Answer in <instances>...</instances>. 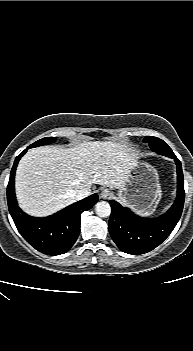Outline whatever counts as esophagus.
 Here are the masks:
<instances>
[{
    "label": "esophagus",
    "instance_id": "1",
    "mask_svg": "<svg viewBox=\"0 0 193 351\" xmlns=\"http://www.w3.org/2000/svg\"><path fill=\"white\" fill-rule=\"evenodd\" d=\"M112 195V192L109 189H103L100 192V197L103 199H109Z\"/></svg>",
    "mask_w": 193,
    "mask_h": 351
}]
</instances>
